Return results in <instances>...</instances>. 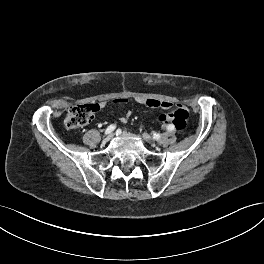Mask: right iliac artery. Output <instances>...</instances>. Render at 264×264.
Here are the masks:
<instances>
[{"instance_id":"82829eb1","label":"right iliac artery","mask_w":264,"mask_h":264,"mask_svg":"<svg viewBox=\"0 0 264 264\" xmlns=\"http://www.w3.org/2000/svg\"><path fill=\"white\" fill-rule=\"evenodd\" d=\"M116 128V125L112 124L110 126L107 127L106 131H105V134H110L111 132H113Z\"/></svg>"}]
</instances>
